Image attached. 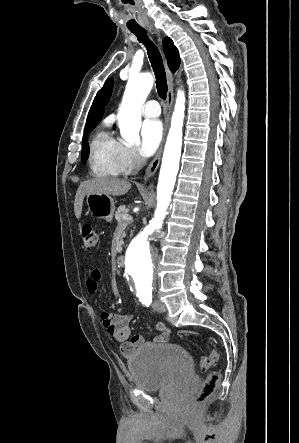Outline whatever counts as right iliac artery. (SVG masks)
<instances>
[{
	"instance_id": "right-iliac-artery-1",
	"label": "right iliac artery",
	"mask_w": 299,
	"mask_h": 443,
	"mask_svg": "<svg viewBox=\"0 0 299 443\" xmlns=\"http://www.w3.org/2000/svg\"><path fill=\"white\" fill-rule=\"evenodd\" d=\"M147 303H148V301H147V300H145V301H142V304H145V305H147Z\"/></svg>"
}]
</instances>
